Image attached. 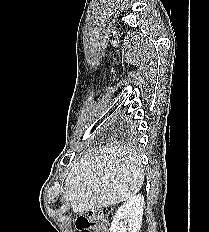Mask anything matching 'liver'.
Masks as SVG:
<instances>
[{"instance_id":"1","label":"liver","mask_w":209,"mask_h":232,"mask_svg":"<svg viewBox=\"0 0 209 232\" xmlns=\"http://www.w3.org/2000/svg\"><path fill=\"white\" fill-rule=\"evenodd\" d=\"M144 181L142 158L132 148L89 150L67 174L64 199L75 213L115 205L136 195Z\"/></svg>"}]
</instances>
